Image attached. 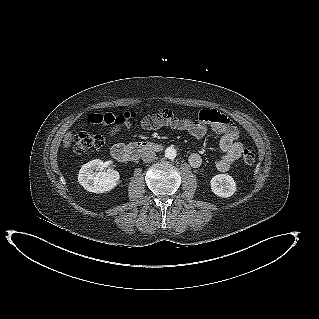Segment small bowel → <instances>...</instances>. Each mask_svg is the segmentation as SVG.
I'll list each match as a JSON object with an SVG mask.
<instances>
[{"mask_svg": "<svg viewBox=\"0 0 319 319\" xmlns=\"http://www.w3.org/2000/svg\"><path fill=\"white\" fill-rule=\"evenodd\" d=\"M90 123H103V115L92 113L87 116ZM141 126L147 130H156L163 126L187 132L195 139H202L208 131L219 136V147L223 156L216 162V168L221 172L228 171L243 152V144L239 141V131L236 125L224 114L214 109H203L197 119L179 117L172 109H161L157 113L142 120ZM117 130L110 133L114 137ZM188 162L191 167L199 168L203 159L199 153H192Z\"/></svg>", "mask_w": 319, "mask_h": 319, "instance_id": "small-bowel-1", "label": "small bowel"}]
</instances>
